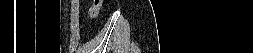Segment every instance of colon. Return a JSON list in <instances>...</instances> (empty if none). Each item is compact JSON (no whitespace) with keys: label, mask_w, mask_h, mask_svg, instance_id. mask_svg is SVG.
I'll use <instances>...</instances> for the list:
<instances>
[{"label":"colon","mask_w":253,"mask_h":53,"mask_svg":"<svg viewBox=\"0 0 253 53\" xmlns=\"http://www.w3.org/2000/svg\"><path fill=\"white\" fill-rule=\"evenodd\" d=\"M102 5V0H93L92 5L88 10V15L90 19H94L98 16L100 8Z\"/></svg>","instance_id":"colon-1"}]
</instances>
